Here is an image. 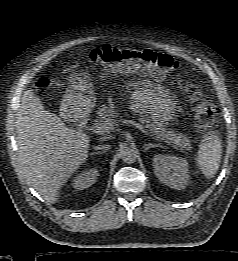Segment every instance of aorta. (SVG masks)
<instances>
[{
	"mask_svg": "<svg viewBox=\"0 0 238 261\" xmlns=\"http://www.w3.org/2000/svg\"><path fill=\"white\" fill-rule=\"evenodd\" d=\"M121 158L127 164L134 163L137 158V152L133 148L126 147L121 151Z\"/></svg>",
	"mask_w": 238,
	"mask_h": 261,
	"instance_id": "762f6f07",
	"label": "aorta"
}]
</instances>
